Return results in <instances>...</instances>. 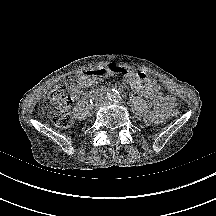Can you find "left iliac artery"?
<instances>
[{"instance_id":"left-iliac-artery-1","label":"left iliac artery","mask_w":216,"mask_h":216,"mask_svg":"<svg viewBox=\"0 0 216 216\" xmlns=\"http://www.w3.org/2000/svg\"><path fill=\"white\" fill-rule=\"evenodd\" d=\"M115 100H116V102H119V101H122L123 98H122V96L118 93V94L115 96Z\"/></svg>"}]
</instances>
